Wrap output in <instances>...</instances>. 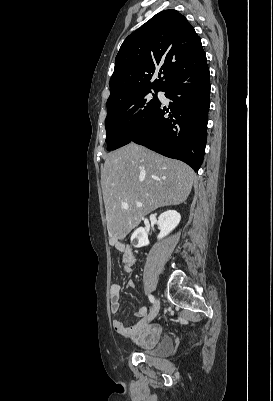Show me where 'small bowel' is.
Segmentation results:
<instances>
[{
	"mask_svg": "<svg viewBox=\"0 0 273 401\" xmlns=\"http://www.w3.org/2000/svg\"><path fill=\"white\" fill-rule=\"evenodd\" d=\"M111 245L121 254L124 271L130 273L136 263V258L131 248L121 241H113ZM128 285L131 288L135 286L133 281H129ZM120 291L121 287L118 283L110 285V311L114 315L119 314L121 311ZM135 317L139 321L132 326H126L120 319H114L112 321L114 331L136 344L146 348L154 347L161 339L162 330L160 326L148 318V310L145 306L137 309Z\"/></svg>",
	"mask_w": 273,
	"mask_h": 401,
	"instance_id": "c3829d8e",
	"label": "small bowel"
}]
</instances>
